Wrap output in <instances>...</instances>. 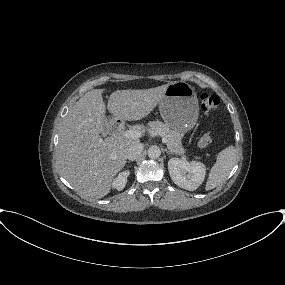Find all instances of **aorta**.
<instances>
[{
	"instance_id": "762f6f07",
	"label": "aorta",
	"mask_w": 285,
	"mask_h": 285,
	"mask_svg": "<svg viewBox=\"0 0 285 285\" xmlns=\"http://www.w3.org/2000/svg\"><path fill=\"white\" fill-rule=\"evenodd\" d=\"M147 153H148L149 158L157 159L161 155V150L158 146H151V147H149Z\"/></svg>"
}]
</instances>
